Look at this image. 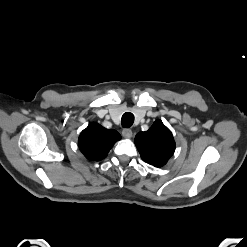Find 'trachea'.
I'll return each instance as SVG.
<instances>
[{
	"label": "trachea",
	"instance_id": "3493384b",
	"mask_svg": "<svg viewBox=\"0 0 247 247\" xmlns=\"http://www.w3.org/2000/svg\"><path fill=\"white\" fill-rule=\"evenodd\" d=\"M134 122V115L130 112H126L123 114L121 119V124L124 128H129L132 126Z\"/></svg>",
	"mask_w": 247,
	"mask_h": 247
}]
</instances>
